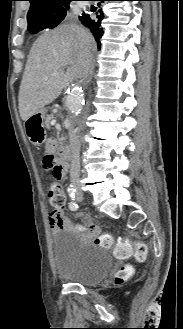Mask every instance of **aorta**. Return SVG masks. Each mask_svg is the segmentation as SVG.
Segmentation results:
<instances>
[{
    "label": "aorta",
    "mask_w": 183,
    "mask_h": 329,
    "mask_svg": "<svg viewBox=\"0 0 183 329\" xmlns=\"http://www.w3.org/2000/svg\"><path fill=\"white\" fill-rule=\"evenodd\" d=\"M66 106L71 113L78 115L84 103V92L81 85L72 86L66 95Z\"/></svg>",
    "instance_id": "obj_1"
}]
</instances>
